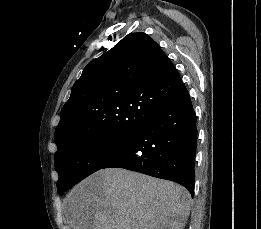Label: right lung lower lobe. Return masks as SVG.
<instances>
[{
  "mask_svg": "<svg viewBox=\"0 0 261 229\" xmlns=\"http://www.w3.org/2000/svg\"><path fill=\"white\" fill-rule=\"evenodd\" d=\"M196 114L184 84L103 168H124L184 186L195 184Z\"/></svg>",
  "mask_w": 261,
  "mask_h": 229,
  "instance_id": "right-lung-lower-lobe-1",
  "label": "right lung lower lobe"
}]
</instances>
